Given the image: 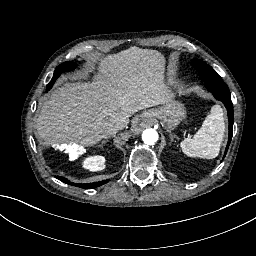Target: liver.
<instances>
[{
	"label": "liver",
	"mask_w": 256,
	"mask_h": 256,
	"mask_svg": "<svg viewBox=\"0 0 256 256\" xmlns=\"http://www.w3.org/2000/svg\"><path fill=\"white\" fill-rule=\"evenodd\" d=\"M165 62L159 51L136 46L107 55L93 82L65 83L43 103L38 134L50 144L99 143L111 128H125L139 110L173 97L164 80ZM137 121L135 117L132 123Z\"/></svg>",
	"instance_id": "6515ba94"
}]
</instances>
